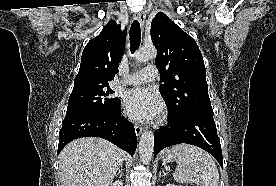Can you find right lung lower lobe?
Wrapping results in <instances>:
<instances>
[{"label":"right lung lower lobe","instance_id":"obj_1","mask_svg":"<svg viewBox=\"0 0 276 186\" xmlns=\"http://www.w3.org/2000/svg\"><path fill=\"white\" fill-rule=\"evenodd\" d=\"M120 105L109 113L82 112L68 115L59 132L57 154L72 140L81 137H100L133 155L137 146L134 126L121 116Z\"/></svg>","mask_w":276,"mask_h":186}]
</instances>
